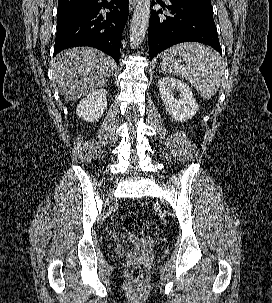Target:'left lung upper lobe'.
<instances>
[{
	"label": "left lung upper lobe",
	"instance_id": "5c2ea615",
	"mask_svg": "<svg viewBox=\"0 0 272 303\" xmlns=\"http://www.w3.org/2000/svg\"><path fill=\"white\" fill-rule=\"evenodd\" d=\"M194 2H200V3H211V0H189Z\"/></svg>",
	"mask_w": 272,
	"mask_h": 303
}]
</instances>
